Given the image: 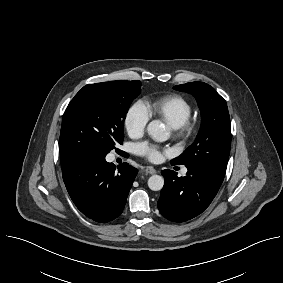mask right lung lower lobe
Listing matches in <instances>:
<instances>
[{"label": "right lung lower lobe", "mask_w": 283, "mask_h": 283, "mask_svg": "<svg viewBox=\"0 0 283 283\" xmlns=\"http://www.w3.org/2000/svg\"><path fill=\"white\" fill-rule=\"evenodd\" d=\"M107 154L88 153L71 161L63 180L77 208L90 219L109 222L123 211L138 170L128 163L115 166Z\"/></svg>", "instance_id": "98d812e1"}]
</instances>
